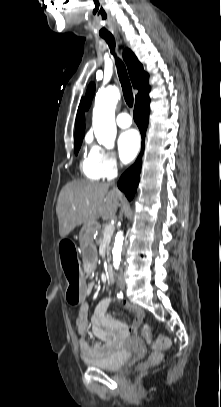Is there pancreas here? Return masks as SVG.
<instances>
[{"label": "pancreas", "mask_w": 221, "mask_h": 407, "mask_svg": "<svg viewBox=\"0 0 221 407\" xmlns=\"http://www.w3.org/2000/svg\"><path fill=\"white\" fill-rule=\"evenodd\" d=\"M103 233H104V231H101L100 235L96 239V244L97 245H100L103 242V236H102Z\"/></svg>", "instance_id": "pancreas-1"}]
</instances>
